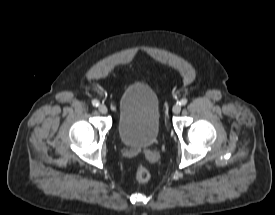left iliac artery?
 I'll return each mask as SVG.
<instances>
[{
  "label": "left iliac artery",
  "instance_id": "obj_1",
  "mask_svg": "<svg viewBox=\"0 0 275 215\" xmlns=\"http://www.w3.org/2000/svg\"><path fill=\"white\" fill-rule=\"evenodd\" d=\"M179 104L182 105V106L186 105L187 104V99L186 98L181 99Z\"/></svg>",
  "mask_w": 275,
  "mask_h": 215
}]
</instances>
